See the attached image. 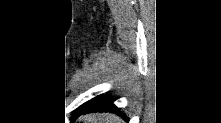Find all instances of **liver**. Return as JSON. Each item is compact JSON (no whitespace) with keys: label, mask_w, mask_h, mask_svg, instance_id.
Returning a JSON list of instances; mask_svg holds the SVG:
<instances>
[{"label":"liver","mask_w":221,"mask_h":123,"mask_svg":"<svg viewBox=\"0 0 221 123\" xmlns=\"http://www.w3.org/2000/svg\"><path fill=\"white\" fill-rule=\"evenodd\" d=\"M85 123H124V121L115 114H89L83 117Z\"/></svg>","instance_id":"6515ba94"}]
</instances>
